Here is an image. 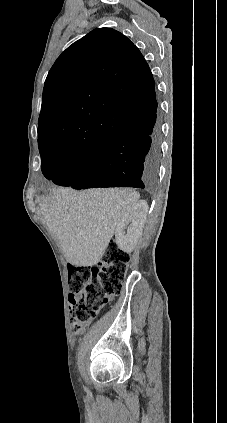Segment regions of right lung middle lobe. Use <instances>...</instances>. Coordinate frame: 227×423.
I'll list each match as a JSON object with an SVG mask.
<instances>
[{
  "label": "right lung middle lobe",
  "instance_id": "right-lung-middle-lobe-1",
  "mask_svg": "<svg viewBox=\"0 0 227 423\" xmlns=\"http://www.w3.org/2000/svg\"><path fill=\"white\" fill-rule=\"evenodd\" d=\"M42 164L68 162L83 156L87 150L75 149L56 141H38Z\"/></svg>",
  "mask_w": 227,
  "mask_h": 423
}]
</instances>
